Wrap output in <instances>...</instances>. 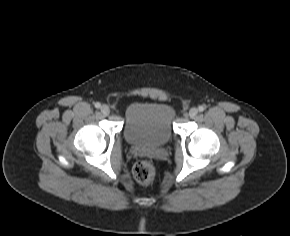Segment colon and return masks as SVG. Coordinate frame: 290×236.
I'll return each mask as SVG.
<instances>
[{"label":"colon","instance_id":"obj_1","mask_svg":"<svg viewBox=\"0 0 290 236\" xmlns=\"http://www.w3.org/2000/svg\"><path fill=\"white\" fill-rule=\"evenodd\" d=\"M135 179L144 185L153 183L157 178L155 165L147 160L138 161L133 169Z\"/></svg>","mask_w":290,"mask_h":236}]
</instances>
